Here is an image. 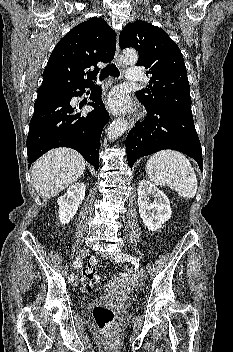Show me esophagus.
I'll return each instance as SVG.
<instances>
[{"mask_svg": "<svg viewBox=\"0 0 233 352\" xmlns=\"http://www.w3.org/2000/svg\"><path fill=\"white\" fill-rule=\"evenodd\" d=\"M115 62H116V64H117L118 66H121V65H122V63H121V57H120V48H119L118 40H117V45H116ZM133 125H134V119H133V118H130V119H129V122H128L129 128H131Z\"/></svg>", "mask_w": 233, "mask_h": 352, "instance_id": "1", "label": "esophagus"}]
</instances>
